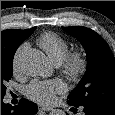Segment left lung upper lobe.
<instances>
[{
	"instance_id": "obj_1",
	"label": "left lung upper lobe",
	"mask_w": 115,
	"mask_h": 115,
	"mask_svg": "<svg viewBox=\"0 0 115 115\" xmlns=\"http://www.w3.org/2000/svg\"><path fill=\"white\" fill-rule=\"evenodd\" d=\"M62 29L78 39L87 54V70L67 102L76 107L98 106L115 111V60L108 44L86 27Z\"/></svg>"
}]
</instances>
